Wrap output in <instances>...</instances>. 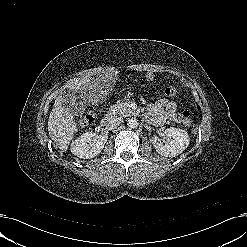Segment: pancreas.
<instances>
[{
	"instance_id": "1",
	"label": "pancreas",
	"mask_w": 247,
	"mask_h": 247,
	"mask_svg": "<svg viewBox=\"0 0 247 247\" xmlns=\"http://www.w3.org/2000/svg\"><path fill=\"white\" fill-rule=\"evenodd\" d=\"M129 103L130 101H126V102H121V103H118V104H114L110 110L112 112H114L116 115H120V116H123V117H128V116H131V115H135V111L133 109H131L129 107Z\"/></svg>"
}]
</instances>
